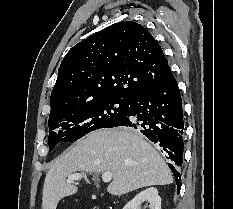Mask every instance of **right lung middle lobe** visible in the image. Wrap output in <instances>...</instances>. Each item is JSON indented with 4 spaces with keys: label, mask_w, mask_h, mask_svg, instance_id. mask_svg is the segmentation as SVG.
I'll return each instance as SVG.
<instances>
[{
    "label": "right lung middle lobe",
    "mask_w": 233,
    "mask_h": 209,
    "mask_svg": "<svg viewBox=\"0 0 233 209\" xmlns=\"http://www.w3.org/2000/svg\"><path fill=\"white\" fill-rule=\"evenodd\" d=\"M129 102L125 99L108 98L71 110L50 113L49 151L61 141L73 142L93 130L108 128L122 121Z\"/></svg>",
    "instance_id": "dd1d6c3e"
}]
</instances>
